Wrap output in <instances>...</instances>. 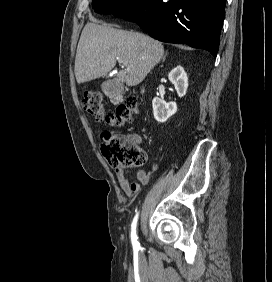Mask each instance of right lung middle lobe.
<instances>
[{"label": "right lung middle lobe", "mask_w": 272, "mask_h": 282, "mask_svg": "<svg viewBox=\"0 0 272 282\" xmlns=\"http://www.w3.org/2000/svg\"><path fill=\"white\" fill-rule=\"evenodd\" d=\"M139 0H92V8L99 14L115 13Z\"/></svg>", "instance_id": "obj_1"}]
</instances>
